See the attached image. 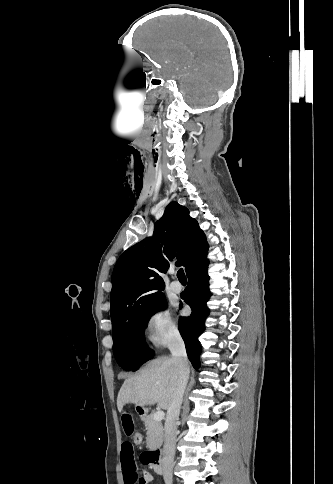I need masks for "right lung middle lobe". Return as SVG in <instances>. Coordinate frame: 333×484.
<instances>
[{
	"label": "right lung middle lobe",
	"instance_id": "obj_1",
	"mask_svg": "<svg viewBox=\"0 0 333 484\" xmlns=\"http://www.w3.org/2000/svg\"><path fill=\"white\" fill-rule=\"evenodd\" d=\"M166 306L165 296L159 297L127 317L113 334V353L123 369L136 370L154 356L145 342L144 331L149 318Z\"/></svg>",
	"mask_w": 333,
	"mask_h": 484
}]
</instances>
